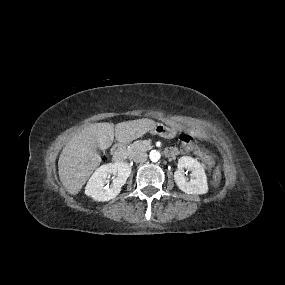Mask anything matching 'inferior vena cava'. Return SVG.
<instances>
[{
    "label": "inferior vena cava",
    "mask_w": 285,
    "mask_h": 285,
    "mask_svg": "<svg viewBox=\"0 0 285 285\" xmlns=\"http://www.w3.org/2000/svg\"><path fill=\"white\" fill-rule=\"evenodd\" d=\"M147 157H148L147 153L140 152L134 156V162L136 163L145 162L147 160Z\"/></svg>",
    "instance_id": "1"
}]
</instances>
